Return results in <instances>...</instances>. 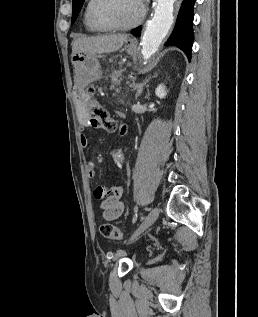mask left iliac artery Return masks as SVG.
I'll list each match as a JSON object with an SVG mask.
<instances>
[{
	"label": "left iliac artery",
	"mask_w": 258,
	"mask_h": 317,
	"mask_svg": "<svg viewBox=\"0 0 258 317\" xmlns=\"http://www.w3.org/2000/svg\"><path fill=\"white\" fill-rule=\"evenodd\" d=\"M138 209H139V202L137 203V205L134 208V216L132 218V223L135 224L138 218Z\"/></svg>",
	"instance_id": "1"
}]
</instances>
